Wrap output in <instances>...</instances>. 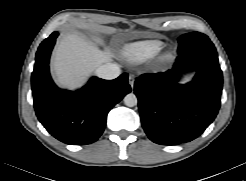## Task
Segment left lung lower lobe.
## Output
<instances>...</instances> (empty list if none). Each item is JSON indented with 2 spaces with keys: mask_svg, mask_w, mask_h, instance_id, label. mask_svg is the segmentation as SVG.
I'll return each instance as SVG.
<instances>
[{
  "mask_svg": "<svg viewBox=\"0 0 246 181\" xmlns=\"http://www.w3.org/2000/svg\"><path fill=\"white\" fill-rule=\"evenodd\" d=\"M174 67L137 78L134 92L142 126L160 145H178L200 136L215 119L223 76L213 43L179 50ZM196 70L193 81L178 84L180 72Z\"/></svg>",
  "mask_w": 246,
  "mask_h": 181,
  "instance_id": "obj_1",
  "label": "left lung lower lobe"
}]
</instances>
